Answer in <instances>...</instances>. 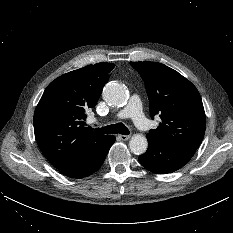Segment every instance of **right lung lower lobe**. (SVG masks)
I'll use <instances>...</instances> for the list:
<instances>
[{
	"label": "right lung lower lobe",
	"mask_w": 233,
	"mask_h": 233,
	"mask_svg": "<svg viewBox=\"0 0 233 233\" xmlns=\"http://www.w3.org/2000/svg\"><path fill=\"white\" fill-rule=\"evenodd\" d=\"M115 142L114 136H109L107 140L97 149L87 154L76 162L59 168L58 170L71 178H83L96 172L103 164L110 147Z\"/></svg>",
	"instance_id": "98d812e1"
}]
</instances>
